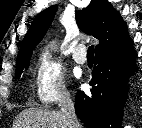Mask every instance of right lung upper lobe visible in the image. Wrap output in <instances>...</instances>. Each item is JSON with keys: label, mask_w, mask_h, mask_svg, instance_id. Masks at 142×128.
Segmentation results:
<instances>
[{"label": "right lung upper lobe", "mask_w": 142, "mask_h": 128, "mask_svg": "<svg viewBox=\"0 0 142 128\" xmlns=\"http://www.w3.org/2000/svg\"><path fill=\"white\" fill-rule=\"evenodd\" d=\"M56 10L57 6L53 5L36 16L22 41L17 63L30 60L34 47L44 37ZM76 21L81 30L99 40L96 55L109 53L131 41L125 22L107 0H92L86 8L77 12Z\"/></svg>", "instance_id": "1"}]
</instances>
